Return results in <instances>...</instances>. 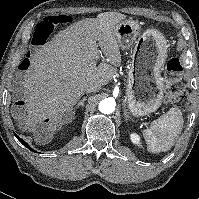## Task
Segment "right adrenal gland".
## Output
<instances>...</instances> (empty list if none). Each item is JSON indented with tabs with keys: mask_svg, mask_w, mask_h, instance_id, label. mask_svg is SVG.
Listing matches in <instances>:
<instances>
[{
	"mask_svg": "<svg viewBox=\"0 0 199 199\" xmlns=\"http://www.w3.org/2000/svg\"><path fill=\"white\" fill-rule=\"evenodd\" d=\"M86 99H87V97L84 96L83 99L79 101V103L74 108V111H73L74 114H75V109L79 108L80 106L84 107V103H85Z\"/></svg>",
	"mask_w": 199,
	"mask_h": 199,
	"instance_id": "right-adrenal-gland-1",
	"label": "right adrenal gland"
}]
</instances>
